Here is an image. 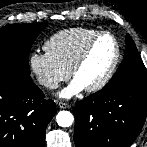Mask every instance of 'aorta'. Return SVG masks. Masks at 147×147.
Returning <instances> with one entry per match:
<instances>
[{
    "label": "aorta",
    "instance_id": "1",
    "mask_svg": "<svg viewBox=\"0 0 147 147\" xmlns=\"http://www.w3.org/2000/svg\"><path fill=\"white\" fill-rule=\"evenodd\" d=\"M73 121L74 117L69 111H60L56 115V122L61 127H70Z\"/></svg>",
    "mask_w": 147,
    "mask_h": 147
}]
</instances>
